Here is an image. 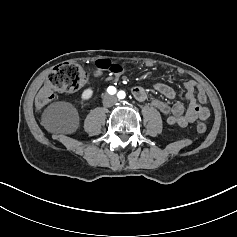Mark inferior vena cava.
I'll list each match as a JSON object with an SVG mask.
<instances>
[{
  "label": "inferior vena cava",
  "instance_id": "602c4592",
  "mask_svg": "<svg viewBox=\"0 0 237 237\" xmlns=\"http://www.w3.org/2000/svg\"><path fill=\"white\" fill-rule=\"evenodd\" d=\"M104 100L105 101L103 102V104L106 107H110L116 102V98L114 96H110V95L105 96Z\"/></svg>",
  "mask_w": 237,
  "mask_h": 237
}]
</instances>
